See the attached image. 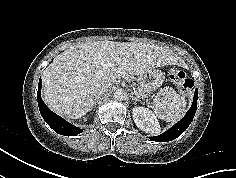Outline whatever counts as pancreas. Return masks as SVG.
I'll list each match as a JSON object with an SVG mask.
<instances>
[{
  "instance_id": "1",
  "label": "pancreas",
  "mask_w": 236,
  "mask_h": 178,
  "mask_svg": "<svg viewBox=\"0 0 236 178\" xmlns=\"http://www.w3.org/2000/svg\"><path fill=\"white\" fill-rule=\"evenodd\" d=\"M138 95L140 96V97H144L143 95H142V92L140 91V90H138Z\"/></svg>"
}]
</instances>
